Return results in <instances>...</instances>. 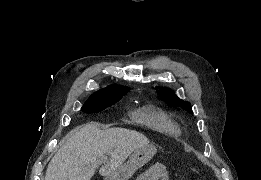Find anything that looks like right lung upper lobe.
Segmentation results:
<instances>
[{"label": "right lung upper lobe", "instance_id": "right-lung-upper-lobe-1", "mask_svg": "<svg viewBox=\"0 0 261 180\" xmlns=\"http://www.w3.org/2000/svg\"><path fill=\"white\" fill-rule=\"evenodd\" d=\"M128 91L129 88L114 84L94 93L90 98L120 97L122 95H125Z\"/></svg>", "mask_w": 261, "mask_h": 180}]
</instances>
